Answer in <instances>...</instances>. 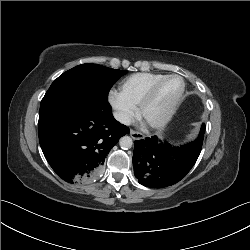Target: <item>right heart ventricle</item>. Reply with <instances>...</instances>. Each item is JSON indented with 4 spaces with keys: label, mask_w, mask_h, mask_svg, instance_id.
Instances as JSON below:
<instances>
[{
    "label": "right heart ventricle",
    "mask_w": 250,
    "mask_h": 250,
    "mask_svg": "<svg viewBox=\"0 0 250 250\" xmlns=\"http://www.w3.org/2000/svg\"><path fill=\"white\" fill-rule=\"evenodd\" d=\"M161 73H135L122 80L119 86L120 94L132 105L140 103L151 85L164 77Z\"/></svg>",
    "instance_id": "right-heart-ventricle-1"
}]
</instances>
